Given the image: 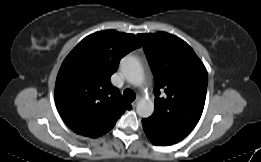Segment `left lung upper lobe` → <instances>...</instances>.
I'll use <instances>...</instances> for the list:
<instances>
[{"label":"left lung upper lobe","mask_w":261,"mask_h":162,"mask_svg":"<svg viewBox=\"0 0 261 162\" xmlns=\"http://www.w3.org/2000/svg\"><path fill=\"white\" fill-rule=\"evenodd\" d=\"M138 37L155 80V109L149 119L187 136L203 112L208 84L206 68L193 49L174 35L158 32Z\"/></svg>","instance_id":"1"}]
</instances>
